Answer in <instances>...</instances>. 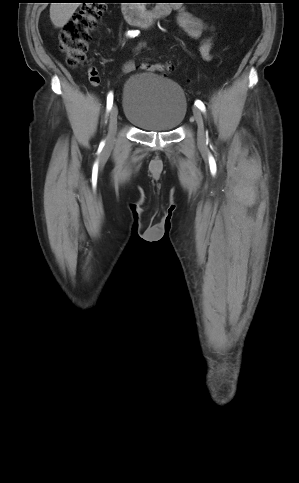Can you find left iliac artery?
<instances>
[{
    "label": "left iliac artery",
    "instance_id": "1",
    "mask_svg": "<svg viewBox=\"0 0 299 483\" xmlns=\"http://www.w3.org/2000/svg\"><path fill=\"white\" fill-rule=\"evenodd\" d=\"M195 105H196V106H197V107H198V108H199L201 111H203V112L205 111V106H204V104H203V102H202V101H200V100H196V101H195Z\"/></svg>",
    "mask_w": 299,
    "mask_h": 483
}]
</instances>
